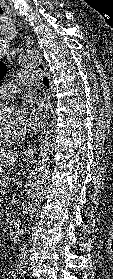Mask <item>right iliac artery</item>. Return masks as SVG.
I'll use <instances>...</instances> for the list:
<instances>
[{
  "instance_id": "1",
  "label": "right iliac artery",
  "mask_w": 113,
  "mask_h": 279,
  "mask_svg": "<svg viewBox=\"0 0 113 279\" xmlns=\"http://www.w3.org/2000/svg\"><path fill=\"white\" fill-rule=\"evenodd\" d=\"M10 273H11V276H12L13 278H15V277H17V275H18V270H17V269H12Z\"/></svg>"
}]
</instances>
